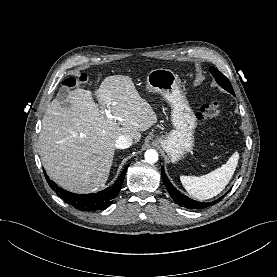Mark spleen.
<instances>
[{
    "label": "spleen",
    "instance_id": "obj_1",
    "mask_svg": "<svg viewBox=\"0 0 277 277\" xmlns=\"http://www.w3.org/2000/svg\"><path fill=\"white\" fill-rule=\"evenodd\" d=\"M239 159L238 152H235L221 167L199 177H180L181 183L186 191L198 200L213 198L224 190L230 182Z\"/></svg>",
    "mask_w": 277,
    "mask_h": 277
}]
</instances>
